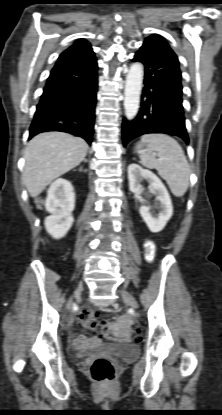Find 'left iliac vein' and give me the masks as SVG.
I'll return each mask as SVG.
<instances>
[{
	"label": "left iliac vein",
	"instance_id": "4c4485c4",
	"mask_svg": "<svg viewBox=\"0 0 222 415\" xmlns=\"http://www.w3.org/2000/svg\"><path fill=\"white\" fill-rule=\"evenodd\" d=\"M121 297L123 298V300L130 305L133 309H138V302L135 299V297L126 290V288H123L120 292Z\"/></svg>",
	"mask_w": 222,
	"mask_h": 415
}]
</instances>
